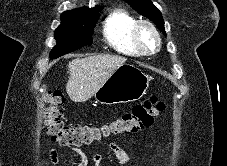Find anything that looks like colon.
I'll list each match as a JSON object with an SVG mask.
<instances>
[{
	"label": "colon",
	"mask_w": 227,
	"mask_h": 166,
	"mask_svg": "<svg viewBox=\"0 0 227 166\" xmlns=\"http://www.w3.org/2000/svg\"><path fill=\"white\" fill-rule=\"evenodd\" d=\"M64 95L59 90L48 95L45 126L48 134L63 146H87L111 134L135 133L150 127L154 117L164 109V102L151 95L134 105L129 112L116 117L104 127L66 125L62 120Z\"/></svg>",
	"instance_id": "5ec220e1"
}]
</instances>
